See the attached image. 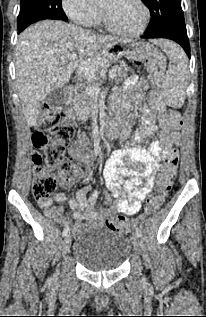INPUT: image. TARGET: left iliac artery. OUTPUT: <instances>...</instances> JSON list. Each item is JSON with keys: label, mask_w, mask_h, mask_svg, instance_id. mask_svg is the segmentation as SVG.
<instances>
[{"label": "left iliac artery", "mask_w": 206, "mask_h": 317, "mask_svg": "<svg viewBox=\"0 0 206 317\" xmlns=\"http://www.w3.org/2000/svg\"><path fill=\"white\" fill-rule=\"evenodd\" d=\"M141 234H142L141 229H140V228H136V235H137L138 237H140Z\"/></svg>", "instance_id": "1"}]
</instances>
